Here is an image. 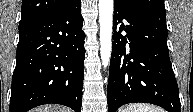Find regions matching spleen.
Here are the masks:
<instances>
[{
    "mask_svg": "<svg viewBox=\"0 0 193 112\" xmlns=\"http://www.w3.org/2000/svg\"><path fill=\"white\" fill-rule=\"evenodd\" d=\"M123 112H163V110L148 104H131Z\"/></svg>",
    "mask_w": 193,
    "mask_h": 112,
    "instance_id": "3e777b00",
    "label": "spleen"
}]
</instances>
